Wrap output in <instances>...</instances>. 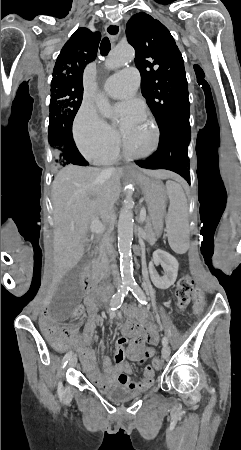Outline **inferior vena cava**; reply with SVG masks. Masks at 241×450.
Here are the masks:
<instances>
[{
	"label": "inferior vena cava",
	"instance_id": "inferior-vena-cava-1",
	"mask_svg": "<svg viewBox=\"0 0 241 450\" xmlns=\"http://www.w3.org/2000/svg\"><path fill=\"white\" fill-rule=\"evenodd\" d=\"M112 172V168H107V170H102V174H111ZM111 226V224H110ZM111 234V228H109L107 234H105L104 238H103V246L105 248V252L106 254H108L111 262H114V252H113V246H112V238L110 236ZM111 270H112V274L113 276H115V278H119V272L117 270V266L116 264H111Z\"/></svg>",
	"mask_w": 241,
	"mask_h": 450
}]
</instances>
